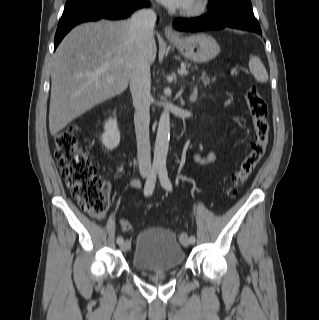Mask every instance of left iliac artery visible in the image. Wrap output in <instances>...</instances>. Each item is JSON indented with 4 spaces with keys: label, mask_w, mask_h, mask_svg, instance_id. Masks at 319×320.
Returning <instances> with one entry per match:
<instances>
[{
    "label": "left iliac artery",
    "mask_w": 319,
    "mask_h": 320,
    "mask_svg": "<svg viewBox=\"0 0 319 320\" xmlns=\"http://www.w3.org/2000/svg\"><path fill=\"white\" fill-rule=\"evenodd\" d=\"M158 174H159V179H160V182H161V185L163 186V188H165L166 190L172 191V184L168 178L166 166H164V165L159 166ZM181 235H183V233ZM188 240L190 243H195V241H196L194 236H190Z\"/></svg>",
    "instance_id": "left-iliac-artery-1"
}]
</instances>
